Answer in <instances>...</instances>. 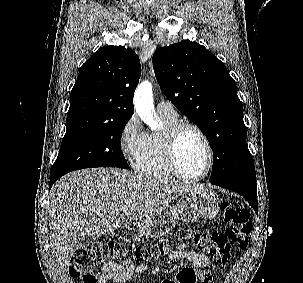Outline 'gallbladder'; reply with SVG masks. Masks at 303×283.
<instances>
[{
  "mask_svg": "<svg viewBox=\"0 0 303 283\" xmlns=\"http://www.w3.org/2000/svg\"><path fill=\"white\" fill-rule=\"evenodd\" d=\"M96 240V236H81L77 239L75 248L76 249H83L85 250L91 243H93Z\"/></svg>",
  "mask_w": 303,
  "mask_h": 283,
  "instance_id": "obj_1",
  "label": "gallbladder"
}]
</instances>
